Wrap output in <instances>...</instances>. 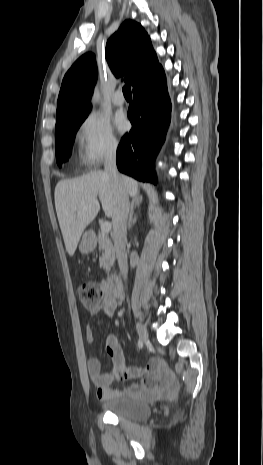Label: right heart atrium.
<instances>
[{"instance_id": "1", "label": "right heart atrium", "mask_w": 263, "mask_h": 465, "mask_svg": "<svg viewBox=\"0 0 263 465\" xmlns=\"http://www.w3.org/2000/svg\"><path fill=\"white\" fill-rule=\"evenodd\" d=\"M76 138L80 160L91 168L114 156L120 145L110 122L97 112L89 113L82 120Z\"/></svg>"}]
</instances>
